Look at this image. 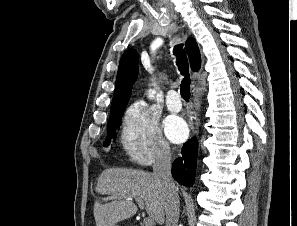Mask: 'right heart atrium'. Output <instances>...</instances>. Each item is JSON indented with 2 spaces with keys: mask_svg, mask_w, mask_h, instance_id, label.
Segmentation results:
<instances>
[{
  "mask_svg": "<svg viewBox=\"0 0 297 226\" xmlns=\"http://www.w3.org/2000/svg\"><path fill=\"white\" fill-rule=\"evenodd\" d=\"M121 144L135 163L149 165L170 156V146L162 134L157 117L147 104L134 102L125 112Z\"/></svg>",
  "mask_w": 297,
  "mask_h": 226,
  "instance_id": "right-heart-atrium-1",
  "label": "right heart atrium"
}]
</instances>
